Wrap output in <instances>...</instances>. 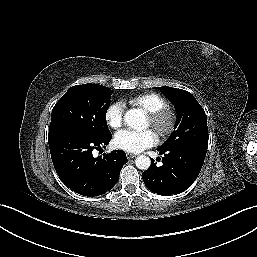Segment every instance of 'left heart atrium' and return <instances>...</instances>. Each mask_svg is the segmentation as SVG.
<instances>
[{"label": "left heart atrium", "mask_w": 257, "mask_h": 257, "mask_svg": "<svg viewBox=\"0 0 257 257\" xmlns=\"http://www.w3.org/2000/svg\"><path fill=\"white\" fill-rule=\"evenodd\" d=\"M158 143L157 134L152 130H121L114 137V145L126 152L139 153Z\"/></svg>", "instance_id": "1"}]
</instances>
